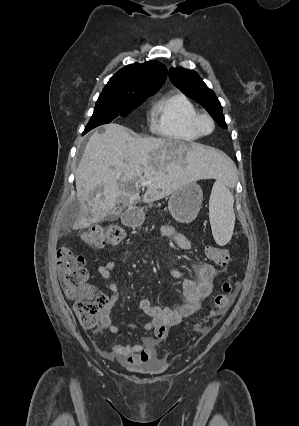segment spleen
I'll use <instances>...</instances> for the list:
<instances>
[{
  "label": "spleen",
  "instance_id": "obj_1",
  "mask_svg": "<svg viewBox=\"0 0 299 426\" xmlns=\"http://www.w3.org/2000/svg\"><path fill=\"white\" fill-rule=\"evenodd\" d=\"M234 198L223 178L213 185L209 199V218L212 234L219 246L226 245L232 238L235 214Z\"/></svg>",
  "mask_w": 299,
  "mask_h": 426
}]
</instances>
